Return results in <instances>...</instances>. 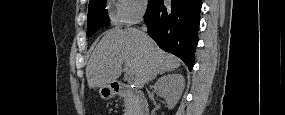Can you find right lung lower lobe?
<instances>
[{"mask_svg":"<svg viewBox=\"0 0 285 115\" xmlns=\"http://www.w3.org/2000/svg\"><path fill=\"white\" fill-rule=\"evenodd\" d=\"M149 0L145 15L149 35L160 48L181 58L189 70L194 65L198 43L201 0Z\"/></svg>","mask_w":285,"mask_h":115,"instance_id":"98d812e1","label":"right lung lower lobe"}]
</instances>
